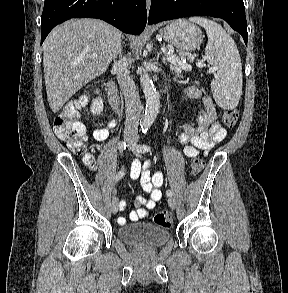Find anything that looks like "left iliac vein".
<instances>
[{
    "instance_id": "1",
    "label": "left iliac vein",
    "mask_w": 288,
    "mask_h": 293,
    "mask_svg": "<svg viewBox=\"0 0 288 293\" xmlns=\"http://www.w3.org/2000/svg\"><path fill=\"white\" fill-rule=\"evenodd\" d=\"M132 150L135 151V152L138 154V152L136 151V147H135V145H133ZM168 204H169V206H170L172 209H175V208H176V201H175L174 198L169 197V198H168Z\"/></svg>"
}]
</instances>
